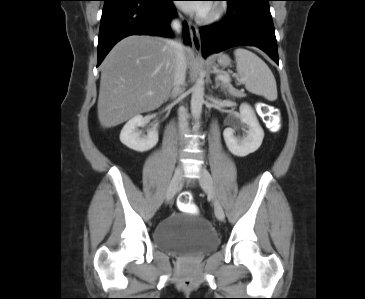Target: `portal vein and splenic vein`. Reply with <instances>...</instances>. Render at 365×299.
Wrapping results in <instances>:
<instances>
[{"label":"portal vein and splenic vein","mask_w":365,"mask_h":299,"mask_svg":"<svg viewBox=\"0 0 365 299\" xmlns=\"http://www.w3.org/2000/svg\"><path fill=\"white\" fill-rule=\"evenodd\" d=\"M218 79H220L223 82H229V80H230L228 74H223V75L221 74V75L218 76ZM148 94L153 95L152 92H149Z\"/></svg>","instance_id":"1"}]
</instances>
